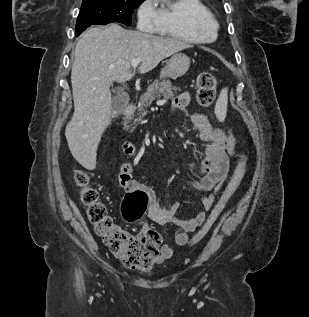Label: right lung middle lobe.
<instances>
[{
  "instance_id": "obj_1",
  "label": "right lung middle lobe",
  "mask_w": 309,
  "mask_h": 317,
  "mask_svg": "<svg viewBox=\"0 0 309 317\" xmlns=\"http://www.w3.org/2000/svg\"><path fill=\"white\" fill-rule=\"evenodd\" d=\"M144 0H83L77 18L76 31L88 28L93 24L112 22L131 25L134 8Z\"/></svg>"
}]
</instances>
